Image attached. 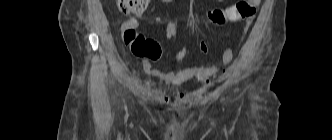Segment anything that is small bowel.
Instances as JSON below:
<instances>
[{
	"label": "small bowel",
	"mask_w": 332,
	"mask_h": 140,
	"mask_svg": "<svg viewBox=\"0 0 332 140\" xmlns=\"http://www.w3.org/2000/svg\"><path fill=\"white\" fill-rule=\"evenodd\" d=\"M165 3H170L173 0H160ZM219 2H223L224 0H218ZM252 24V19H248L245 21L241 34L238 38V43L241 42L245 36L248 34L250 27ZM200 50L202 53L208 52V46L205 41L200 42ZM187 53V46H183L176 55L177 62H181ZM233 48L227 47L222 55V63L218 66H206V65H197V66H184L179 67L175 70L169 72H162L158 69H155L151 66L148 60H143L142 65L143 69L149 76L156 78L162 81L165 85L169 87H177L182 85L185 82L190 80H197L201 83H208L210 78L214 76L217 72L220 71L223 67H226L233 59ZM145 85L151 86L153 88H158L157 82H146ZM182 95V93L180 94Z\"/></svg>",
	"instance_id": "1"
}]
</instances>
